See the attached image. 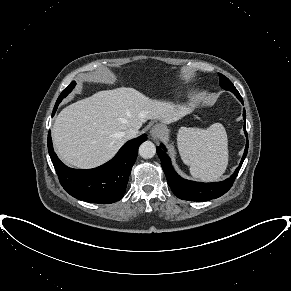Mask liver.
Instances as JSON below:
<instances>
[{"instance_id": "liver-1", "label": "liver", "mask_w": 291, "mask_h": 291, "mask_svg": "<svg viewBox=\"0 0 291 291\" xmlns=\"http://www.w3.org/2000/svg\"><path fill=\"white\" fill-rule=\"evenodd\" d=\"M179 110L169 103L152 100L134 88L99 91L64 108L52 128L54 148L60 159L76 168L97 167L111 159L124 144L122 132L139 129L147 120L169 124Z\"/></svg>"}]
</instances>
